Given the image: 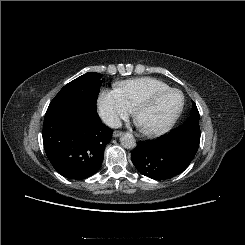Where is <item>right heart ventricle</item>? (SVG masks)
Masks as SVG:
<instances>
[{
  "instance_id": "obj_1",
  "label": "right heart ventricle",
  "mask_w": 245,
  "mask_h": 245,
  "mask_svg": "<svg viewBox=\"0 0 245 245\" xmlns=\"http://www.w3.org/2000/svg\"><path fill=\"white\" fill-rule=\"evenodd\" d=\"M168 88L165 82L151 77L133 78L115 84V90L130 108L144 96Z\"/></svg>"
}]
</instances>
